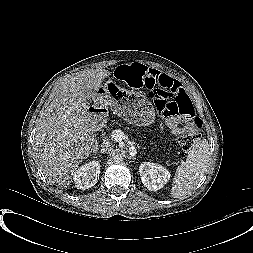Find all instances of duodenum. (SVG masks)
Returning <instances> with one entry per match:
<instances>
[{
  "instance_id": "1",
  "label": "duodenum",
  "mask_w": 253,
  "mask_h": 253,
  "mask_svg": "<svg viewBox=\"0 0 253 253\" xmlns=\"http://www.w3.org/2000/svg\"><path fill=\"white\" fill-rule=\"evenodd\" d=\"M106 109L102 107H92L89 110L92 124L98 127H102L106 119Z\"/></svg>"
}]
</instances>
